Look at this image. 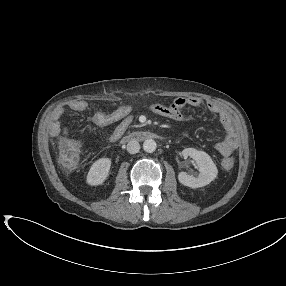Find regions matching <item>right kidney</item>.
Here are the masks:
<instances>
[{
  "label": "right kidney",
  "mask_w": 286,
  "mask_h": 286,
  "mask_svg": "<svg viewBox=\"0 0 286 286\" xmlns=\"http://www.w3.org/2000/svg\"><path fill=\"white\" fill-rule=\"evenodd\" d=\"M110 167L109 158H100L95 161L87 174V183L92 186L101 185L107 179Z\"/></svg>",
  "instance_id": "obj_1"
}]
</instances>
